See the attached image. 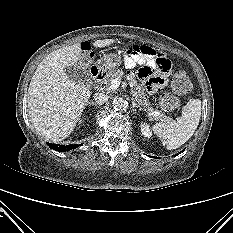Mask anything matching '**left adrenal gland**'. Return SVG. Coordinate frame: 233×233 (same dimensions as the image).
<instances>
[{"label":"left adrenal gland","mask_w":233,"mask_h":233,"mask_svg":"<svg viewBox=\"0 0 233 233\" xmlns=\"http://www.w3.org/2000/svg\"><path fill=\"white\" fill-rule=\"evenodd\" d=\"M132 107H133L134 113H136V108H139V110L142 109V107H140V105H137V103L135 102L134 98H132Z\"/></svg>","instance_id":"obj_1"}]
</instances>
